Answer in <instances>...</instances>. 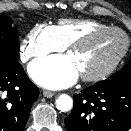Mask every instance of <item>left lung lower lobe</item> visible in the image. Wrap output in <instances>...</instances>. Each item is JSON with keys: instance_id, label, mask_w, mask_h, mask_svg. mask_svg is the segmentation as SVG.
Instances as JSON below:
<instances>
[{"instance_id": "obj_1", "label": "left lung lower lobe", "mask_w": 131, "mask_h": 131, "mask_svg": "<svg viewBox=\"0 0 131 131\" xmlns=\"http://www.w3.org/2000/svg\"><path fill=\"white\" fill-rule=\"evenodd\" d=\"M67 131H127L131 128V87L95 84L75 94Z\"/></svg>"}]
</instances>
